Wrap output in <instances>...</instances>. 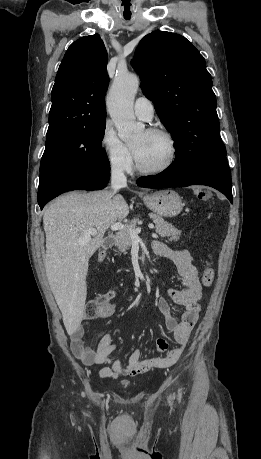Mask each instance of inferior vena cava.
I'll return each mask as SVG.
<instances>
[{"instance_id": "inferior-vena-cava-1", "label": "inferior vena cava", "mask_w": 261, "mask_h": 459, "mask_svg": "<svg viewBox=\"0 0 261 459\" xmlns=\"http://www.w3.org/2000/svg\"><path fill=\"white\" fill-rule=\"evenodd\" d=\"M127 186V178L121 164H115L111 170V193L115 194L120 188Z\"/></svg>"}]
</instances>
